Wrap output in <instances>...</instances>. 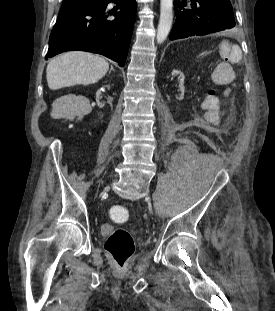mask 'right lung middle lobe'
Segmentation results:
<instances>
[{
	"instance_id": "obj_1",
	"label": "right lung middle lobe",
	"mask_w": 275,
	"mask_h": 311,
	"mask_svg": "<svg viewBox=\"0 0 275 311\" xmlns=\"http://www.w3.org/2000/svg\"><path fill=\"white\" fill-rule=\"evenodd\" d=\"M87 1H96V0H75V1H70V2H63L62 9H65V8H68L74 5H78V4H83Z\"/></svg>"
}]
</instances>
